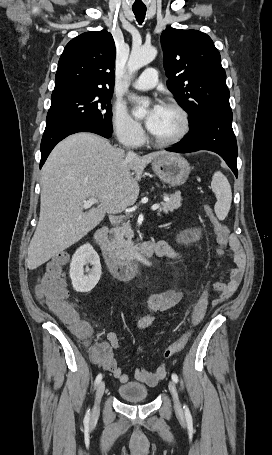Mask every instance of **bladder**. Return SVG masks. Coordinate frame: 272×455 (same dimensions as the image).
I'll use <instances>...</instances> for the list:
<instances>
[{
  "instance_id": "31cf9c89",
  "label": "bladder",
  "mask_w": 272,
  "mask_h": 455,
  "mask_svg": "<svg viewBox=\"0 0 272 455\" xmlns=\"http://www.w3.org/2000/svg\"><path fill=\"white\" fill-rule=\"evenodd\" d=\"M118 395L130 403H140L148 399V389L140 383L128 382L122 384L117 389Z\"/></svg>"
}]
</instances>
